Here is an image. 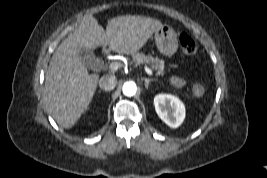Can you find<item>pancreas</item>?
Returning a JSON list of instances; mask_svg holds the SVG:
<instances>
[{
    "label": "pancreas",
    "instance_id": "pancreas-1",
    "mask_svg": "<svg viewBox=\"0 0 267 178\" xmlns=\"http://www.w3.org/2000/svg\"><path fill=\"white\" fill-rule=\"evenodd\" d=\"M134 62H144L146 63L152 70L155 71L157 76H164L165 73V65L164 61L159 58H154L150 55H144L140 53H135L132 55Z\"/></svg>",
    "mask_w": 267,
    "mask_h": 178
}]
</instances>
